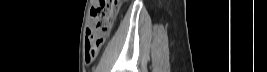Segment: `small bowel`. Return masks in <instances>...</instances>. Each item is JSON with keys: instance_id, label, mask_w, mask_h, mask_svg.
Wrapping results in <instances>:
<instances>
[{"instance_id": "small-bowel-1", "label": "small bowel", "mask_w": 267, "mask_h": 72, "mask_svg": "<svg viewBox=\"0 0 267 72\" xmlns=\"http://www.w3.org/2000/svg\"><path fill=\"white\" fill-rule=\"evenodd\" d=\"M96 56H97V54L94 55V56H89V55L87 54V51H86V40H85V59H86V62H91V61H93V59H94Z\"/></svg>"}]
</instances>
